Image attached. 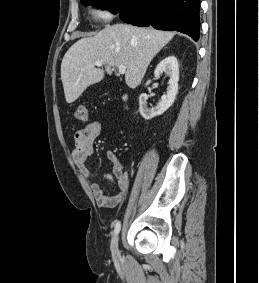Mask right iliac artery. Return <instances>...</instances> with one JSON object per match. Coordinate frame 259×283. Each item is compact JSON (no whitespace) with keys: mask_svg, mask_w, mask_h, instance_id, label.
I'll use <instances>...</instances> for the list:
<instances>
[{"mask_svg":"<svg viewBox=\"0 0 259 283\" xmlns=\"http://www.w3.org/2000/svg\"><path fill=\"white\" fill-rule=\"evenodd\" d=\"M120 229H121V224L118 221L115 225L114 234L117 235L120 232Z\"/></svg>","mask_w":259,"mask_h":283,"instance_id":"1","label":"right iliac artery"}]
</instances>
